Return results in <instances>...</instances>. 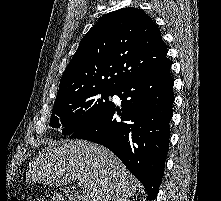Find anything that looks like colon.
I'll return each mask as SVG.
<instances>
[{
    "instance_id": "1",
    "label": "colon",
    "mask_w": 221,
    "mask_h": 201,
    "mask_svg": "<svg viewBox=\"0 0 221 201\" xmlns=\"http://www.w3.org/2000/svg\"><path fill=\"white\" fill-rule=\"evenodd\" d=\"M11 201H21V200L17 197H14V198L11 199Z\"/></svg>"
}]
</instances>
